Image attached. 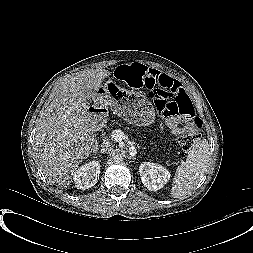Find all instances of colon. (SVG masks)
Masks as SVG:
<instances>
[{
	"mask_svg": "<svg viewBox=\"0 0 253 253\" xmlns=\"http://www.w3.org/2000/svg\"><path fill=\"white\" fill-rule=\"evenodd\" d=\"M146 74L147 68L138 63L122 65L115 72L118 80L135 89L144 86ZM149 96L162 117L172 118L181 115L189 120L186 132L180 136L179 143L184 150L191 149L200 139L202 123L194 116V107L189 96L181 87L165 86L151 89Z\"/></svg>",
	"mask_w": 253,
	"mask_h": 253,
	"instance_id": "1",
	"label": "colon"
}]
</instances>
